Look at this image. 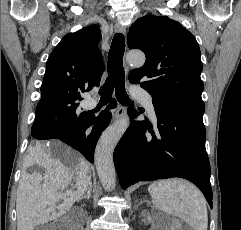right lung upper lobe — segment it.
I'll return each mask as SVG.
<instances>
[{"mask_svg": "<svg viewBox=\"0 0 241 230\" xmlns=\"http://www.w3.org/2000/svg\"><path fill=\"white\" fill-rule=\"evenodd\" d=\"M101 31L92 25L67 34L46 63L37 108L79 104L81 93L99 86L105 70L98 42Z\"/></svg>", "mask_w": 241, "mask_h": 230, "instance_id": "1", "label": "right lung upper lobe"}]
</instances>
